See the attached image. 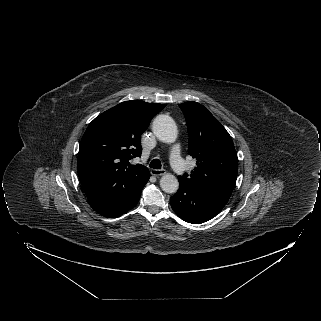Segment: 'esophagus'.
Segmentation results:
<instances>
[{"instance_id":"obj_1","label":"esophagus","mask_w":321,"mask_h":321,"mask_svg":"<svg viewBox=\"0 0 321 321\" xmlns=\"http://www.w3.org/2000/svg\"><path fill=\"white\" fill-rule=\"evenodd\" d=\"M151 174L154 176H162L164 174H166V170L164 169H152L151 170Z\"/></svg>"}]
</instances>
